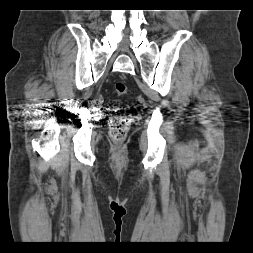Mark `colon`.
<instances>
[{
  "instance_id": "5ec220e1",
  "label": "colon",
  "mask_w": 253,
  "mask_h": 253,
  "mask_svg": "<svg viewBox=\"0 0 253 253\" xmlns=\"http://www.w3.org/2000/svg\"><path fill=\"white\" fill-rule=\"evenodd\" d=\"M115 91L122 96L127 93V85L123 81H117L114 85ZM131 124V115L128 112H122L114 116L110 121V137L115 142H121L125 139Z\"/></svg>"
}]
</instances>
